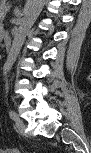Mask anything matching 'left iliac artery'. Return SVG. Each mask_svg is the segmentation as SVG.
<instances>
[{
	"label": "left iliac artery",
	"mask_w": 91,
	"mask_h": 153,
	"mask_svg": "<svg viewBox=\"0 0 91 153\" xmlns=\"http://www.w3.org/2000/svg\"><path fill=\"white\" fill-rule=\"evenodd\" d=\"M9 116L13 120H16L18 118V115L13 110L9 111Z\"/></svg>",
	"instance_id": "1"
}]
</instances>
